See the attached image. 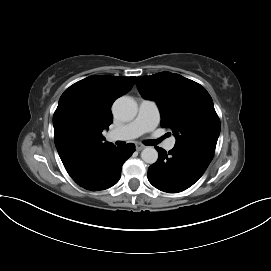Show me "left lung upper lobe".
Returning a JSON list of instances; mask_svg holds the SVG:
<instances>
[{
    "label": "left lung upper lobe",
    "instance_id": "5c2ea615",
    "mask_svg": "<svg viewBox=\"0 0 271 271\" xmlns=\"http://www.w3.org/2000/svg\"><path fill=\"white\" fill-rule=\"evenodd\" d=\"M140 94L157 103L162 127L171 128L176 146H189L214 154L220 120L209 93L179 74L161 72L136 78Z\"/></svg>",
    "mask_w": 271,
    "mask_h": 271
}]
</instances>
